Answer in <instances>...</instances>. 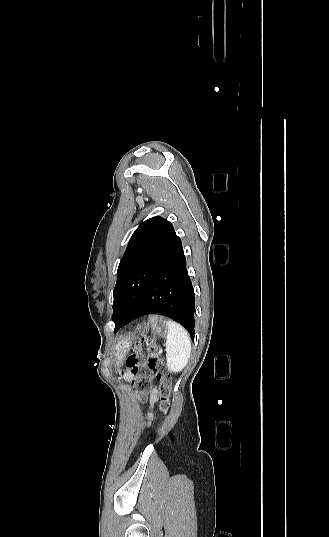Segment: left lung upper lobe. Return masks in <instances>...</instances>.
<instances>
[{
    "label": "left lung upper lobe",
    "mask_w": 329,
    "mask_h": 537,
    "mask_svg": "<svg viewBox=\"0 0 329 537\" xmlns=\"http://www.w3.org/2000/svg\"><path fill=\"white\" fill-rule=\"evenodd\" d=\"M172 224L156 216L142 222L119 263L113 291L115 332L160 269L182 249Z\"/></svg>",
    "instance_id": "obj_1"
}]
</instances>
